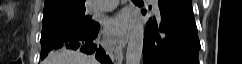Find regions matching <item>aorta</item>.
<instances>
[{"instance_id":"aorta-1","label":"aorta","mask_w":242,"mask_h":64,"mask_svg":"<svg viewBox=\"0 0 242 64\" xmlns=\"http://www.w3.org/2000/svg\"><path fill=\"white\" fill-rule=\"evenodd\" d=\"M144 26L138 22L129 38L126 52V64H140L143 51Z\"/></svg>"}]
</instances>
